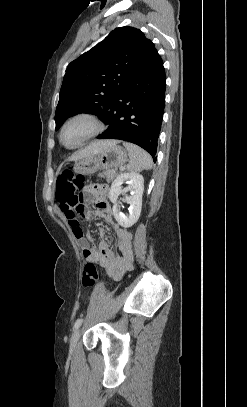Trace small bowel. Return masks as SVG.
Instances as JSON below:
<instances>
[{
  "label": "small bowel",
  "instance_id": "obj_1",
  "mask_svg": "<svg viewBox=\"0 0 247 407\" xmlns=\"http://www.w3.org/2000/svg\"><path fill=\"white\" fill-rule=\"evenodd\" d=\"M107 191L106 185H90L85 190V198L82 200L77 198L75 201L60 203V209L79 246L82 248L85 260L101 266L111 278L117 280L133 267L132 235L120 227L114 219L112 207L107 201ZM90 200L96 203L94 209L87 204ZM77 215L88 220L99 217L112 227L117 237L119 253H114L104 239L105 230L103 228L99 229L98 232L100 239L98 247H93L91 243L94 239L89 234L84 235Z\"/></svg>",
  "mask_w": 247,
  "mask_h": 407
}]
</instances>
